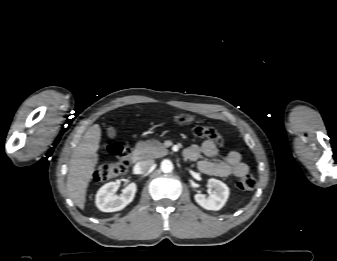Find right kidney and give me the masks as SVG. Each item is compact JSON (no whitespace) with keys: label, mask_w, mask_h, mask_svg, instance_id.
<instances>
[{"label":"right kidney","mask_w":337,"mask_h":261,"mask_svg":"<svg viewBox=\"0 0 337 261\" xmlns=\"http://www.w3.org/2000/svg\"><path fill=\"white\" fill-rule=\"evenodd\" d=\"M118 189L116 182H109L102 186L96 194V206L103 212H115L125 208L133 201L137 186L135 183H130L120 196L115 193Z\"/></svg>","instance_id":"ca27d5eb"}]
</instances>
